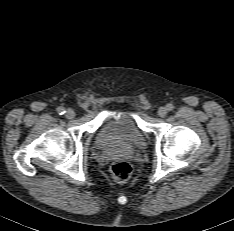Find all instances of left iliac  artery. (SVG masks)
<instances>
[{"instance_id":"left-iliac-artery-1","label":"left iliac artery","mask_w":234,"mask_h":231,"mask_svg":"<svg viewBox=\"0 0 234 231\" xmlns=\"http://www.w3.org/2000/svg\"><path fill=\"white\" fill-rule=\"evenodd\" d=\"M166 109H167L168 111H172V110L174 109V106H173L172 104H167V105H166Z\"/></svg>"}]
</instances>
